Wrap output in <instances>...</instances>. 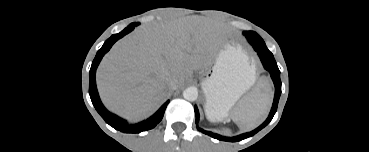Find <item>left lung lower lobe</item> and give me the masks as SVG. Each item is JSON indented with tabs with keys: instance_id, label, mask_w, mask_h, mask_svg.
I'll use <instances>...</instances> for the list:
<instances>
[{
	"instance_id": "left-lung-lower-lobe-1",
	"label": "left lung lower lobe",
	"mask_w": 369,
	"mask_h": 152,
	"mask_svg": "<svg viewBox=\"0 0 369 152\" xmlns=\"http://www.w3.org/2000/svg\"><path fill=\"white\" fill-rule=\"evenodd\" d=\"M249 43L253 46V48L255 49V51L258 53L261 62L264 66V68L266 70H268L271 74V78L274 82L275 85V96H274V102L272 105V109L271 112L268 116V118L266 119V121L260 125L258 128H256L255 130L248 132V133H244L241 134L239 136H235V137H224V136H220L218 134L209 132V131H204L203 129L199 128L197 126V129L215 139L218 140H223V141H229V142H236V141H240L243 139H246L248 137L253 136L254 134H256L258 131H260L262 128H264L273 118L274 114L276 113L277 110V106H278V101L280 98V94H281V80H280V71L278 69V66L276 64V61L273 57V54L267 49L263 39H249L248 40ZM195 115H196V124L199 121V111L197 109V107L195 106Z\"/></svg>"
}]
</instances>
